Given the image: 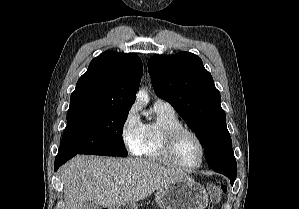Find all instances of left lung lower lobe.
<instances>
[{"instance_id":"obj_1","label":"left lung lower lobe","mask_w":299,"mask_h":209,"mask_svg":"<svg viewBox=\"0 0 299 209\" xmlns=\"http://www.w3.org/2000/svg\"><path fill=\"white\" fill-rule=\"evenodd\" d=\"M210 168L215 172L227 176L230 179L231 185H233L237 176V165L233 150L222 157L217 164Z\"/></svg>"}]
</instances>
